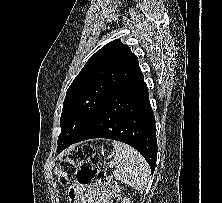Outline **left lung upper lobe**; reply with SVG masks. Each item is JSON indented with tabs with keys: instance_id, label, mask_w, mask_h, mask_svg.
I'll return each mask as SVG.
<instances>
[{
	"instance_id": "obj_1",
	"label": "left lung upper lobe",
	"mask_w": 222,
	"mask_h": 203,
	"mask_svg": "<svg viewBox=\"0 0 222 203\" xmlns=\"http://www.w3.org/2000/svg\"><path fill=\"white\" fill-rule=\"evenodd\" d=\"M137 68V56L120 40L109 42L90 57L67 90L57 149L82 132L105 100Z\"/></svg>"
}]
</instances>
